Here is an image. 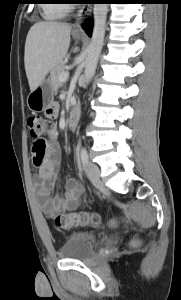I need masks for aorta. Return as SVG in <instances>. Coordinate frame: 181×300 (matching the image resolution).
<instances>
[{
    "instance_id": "obj_1",
    "label": "aorta",
    "mask_w": 181,
    "mask_h": 300,
    "mask_svg": "<svg viewBox=\"0 0 181 300\" xmlns=\"http://www.w3.org/2000/svg\"><path fill=\"white\" fill-rule=\"evenodd\" d=\"M108 5L96 3L93 8L94 25L85 59L84 82L88 84L95 74L98 59L104 45Z\"/></svg>"
}]
</instances>
